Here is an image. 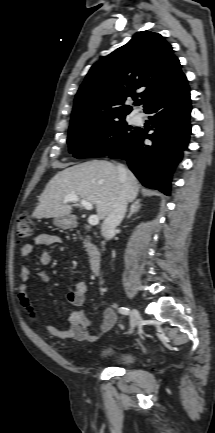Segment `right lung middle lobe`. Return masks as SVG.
<instances>
[{"instance_id":"1","label":"right lung middle lobe","mask_w":215,"mask_h":433,"mask_svg":"<svg viewBox=\"0 0 215 433\" xmlns=\"http://www.w3.org/2000/svg\"><path fill=\"white\" fill-rule=\"evenodd\" d=\"M137 132L125 117L70 125L69 151L76 158L109 156L121 149Z\"/></svg>"}]
</instances>
